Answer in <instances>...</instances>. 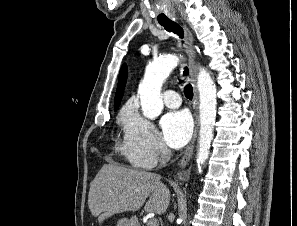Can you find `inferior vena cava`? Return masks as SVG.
Returning a JSON list of instances; mask_svg holds the SVG:
<instances>
[{
	"label": "inferior vena cava",
	"mask_w": 297,
	"mask_h": 226,
	"mask_svg": "<svg viewBox=\"0 0 297 226\" xmlns=\"http://www.w3.org/2000/svg\"><path fill=\"white\" fill-rule=\"evenodd\" d=\"M171 155H172L171 150L168 149V147L163 146L159 153L160 166L165 165L170 160Z\"/></svg>",
	"instance_id": "inferior-vena-cava-1"
}]
</instances>
